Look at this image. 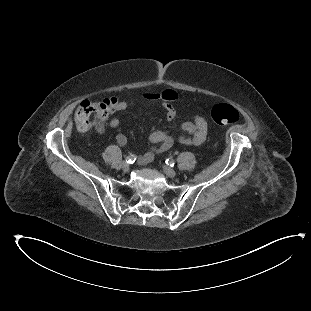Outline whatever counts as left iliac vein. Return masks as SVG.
Returning <instances> with one entry per match:
<instances>
[{
    "label": "left iliac vein",
    "instance_id": "obj_1",
    "mask_svg": "<svg viewBox=\"0 0 311 311\" xmlns=\"http://www.w3.org/2000/svg\"><path fill=\"white\" fill-rule=\"evenodd\" d=\"M163 171L170 178H173L176 176L175 170L169 166H163Z\"/></svg>",
    "mask_w": 311,
    "mask_h": 311
}]
</instances>
